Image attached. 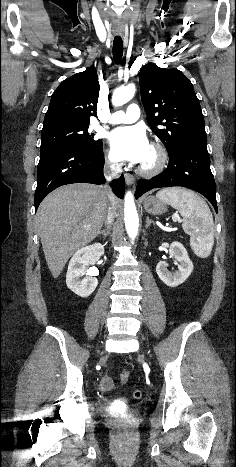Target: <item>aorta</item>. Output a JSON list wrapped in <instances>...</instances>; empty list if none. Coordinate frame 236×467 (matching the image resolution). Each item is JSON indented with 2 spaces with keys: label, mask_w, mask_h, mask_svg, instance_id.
I'll use <instances>...</instances> for the list:
<instances>
[{
  "label": "aorta",
  "mask_w": 236,
  "mask_h": 467,
  "mask_svg": "<svg viewBox=\"0 0 236 467\" xmlns=\"http://www.w3.org/2000/svg\"><path fill=\"white\" fill-rule=\"evenodd\" d=\"M135 91L136 87L134 84H128L116 89L112 95V104L114 106H121L127 103L133 98ZM124 220L127 234L131 241H134L138 234L139 218L131 191H128L125 195Z\"/></svg>",
  "instance_id": "aorta-1"
}]
</instances>
